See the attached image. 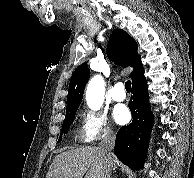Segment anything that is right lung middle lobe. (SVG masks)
<instances>
[{
	"mask_svg": "<svg viewBox=\"0 0 194 178\" xmlns=\"http://www.w3.org/2000/svg\"><path fill=\"white\" fill-rule=\"evenodd\" d=\"M75 113H76V110L66 113V116H65V119H64V122H63L61 135H60V138H59L58 142H60L62 140V134L68 132L69 127L71 125V122L73 121V118L75 116Z\"/></svg>",
	"mask_w": 194,
	"mask_h": 178,
	"instance_id": "1",
	"label": "right lung middle lobe"
}]
</instances>
